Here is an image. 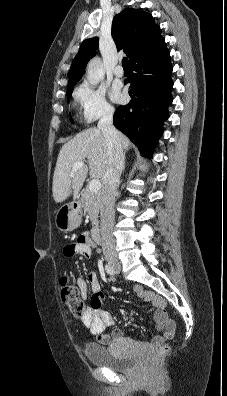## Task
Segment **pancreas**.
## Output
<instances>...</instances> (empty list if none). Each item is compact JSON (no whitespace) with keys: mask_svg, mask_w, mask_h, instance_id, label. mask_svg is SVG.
I'll list each match as a JSON object with an SVG mask.
<instances>
[{"mask_svg":"<svg viewBox=\"0 0 227 396\" xmlns=\"http://www.w3.org/2000/svg\"><path fill=\"white\" fill-rule=\"evenodd\" d=\"M101 193L91 192L86 188L82 194L84 212H87L93 225H98Z\"/></svg>","mask_w":227,"mask_h":396,"instance_id":"cf45deb5","label":"pancreas"}]
</instances>
